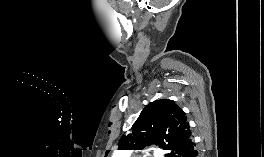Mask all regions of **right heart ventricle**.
<instances>
[{
	"mask_svg": "<svg viewBox=\"0 0 264 157\" xmlns=\"http://www.w3.org/2000/svg\"><path fill=\"white\" fill-rule=\"evenodd\" d=\"M113 157H126V156H124V155L121 154V153H117V154H115Z\"/></svg>",
	"mask_w": 264,
	"mask_h": 157,
	"instance_id": "e07e8e85",
	"label": "right heart ventricle"
}]
</instances>
